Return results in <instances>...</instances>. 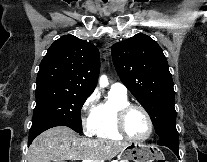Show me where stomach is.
Here are the masks:
<instances>
[{
	"label": "stomach",
	"mask_w": 207,
	"mask_h": 162,
	"mask_svg": "<svg viewBox=\"0 0 207 162\" xmlns=\"http://www.w3.org/2000/svg\"><path fill=\"white\" fill-rule=\"evenodd\" d=\"M119 162L133 160L134 162H153L154 160H165L163 153L154 147L141 144L128 145L119 154ZM163 162V161H159Z\"/></svg>",
	"instance_id": "stomach-1"
}]
</instances>
